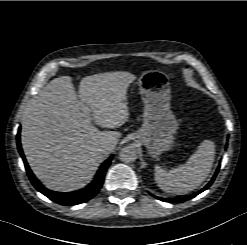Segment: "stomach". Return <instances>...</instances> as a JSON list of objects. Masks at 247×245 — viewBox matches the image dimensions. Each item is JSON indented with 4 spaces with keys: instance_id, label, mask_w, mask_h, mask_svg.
Listing matches in <instances>:
<instances>
[{
    "instance_id": "stomach-1",
    "label": "stomach",
    "mask_w": 247,
    "mask_h": 245,
    "mask_svg": "<svg viewBox=\"0 0 247 245\" xmlns=\"http://www.w3.org/2000/svg\"><path fill=\"white\" fill-rule=\"evenodd\" d=\"M138 86L144 104V118L134 139L144 144L152 157H157L171 148L178 129L170 107L169 77L160 70L151 69L142 73Z\"/></svg>"
}]
</instances>
